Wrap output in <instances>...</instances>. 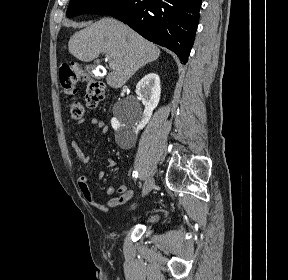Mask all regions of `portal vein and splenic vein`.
Wrapping results in <instances>:
<instances>
[{
    "label": "portal vein and splenic vein",
    "instance_id": "18ae733b",
    "mask_svg": "<svg viewBox=\"0 0 288 280\" xmlns=\"http://www.w3.org/2000/svg\"><path fill=\"white\" fill-rule=\"evenodd\" d=\"M106 58L108 59V62H109V67L111 69H114V61L109 57V55L106 54Z\"/></svg>",
    "mask_w": 288,
    "mask_h": 280
}]
</instances>
